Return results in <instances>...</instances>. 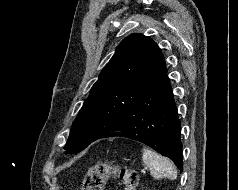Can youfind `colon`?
<instances>
[{"label":"colon","mask_w":238,"mask_h":190,"mask_svg":"<svg viewBox=\"0 0 238 190\" xmlns=\"http://www.w3.org/2000/svg\"><path fill=\"white\" fill-rule=\"evenodd\" d=\"M109 179L118 180L124 190H136L139 182L136 171L109 161H101L89 168L83 181V190H103Z\"/></svg>","instance_id":"colon-1"}]
</instances>
